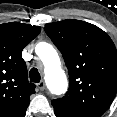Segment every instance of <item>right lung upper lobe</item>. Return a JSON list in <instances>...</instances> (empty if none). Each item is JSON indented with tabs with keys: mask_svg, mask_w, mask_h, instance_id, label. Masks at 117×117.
Returning <instances> with one entry per match:
<instances>
[{
	"mask_svg": "<svg viewBox=\"0 0 117 117\" xmlns=\"http://www.w3.org/2000/svg\"><path fill=\"white\" fill-rule=\"evenodd\" d=\"M41 31V27L10 22L0 24V117H24L35 93L29 83L23 48Z\"/></svg>",
	"mask_w": 117,
	"mask_h": 117,
	"instance_id": "obj_1",
	"label": "right lung upper lobe"
}]
</instances>
